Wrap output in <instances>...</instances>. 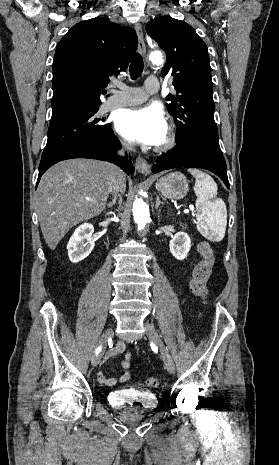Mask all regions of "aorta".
Returning a JSON list of instances; mask_svg holds the SVG:
<instances>
[{"label":"aorta","instance_id":"762f6f07","mask_svg":"<svg viewBox=\"0 0 279 465\" xmlns=\"http://www.w3.org/2000/svg\"><path fill=\"white\" fill-rule=\"evenodd\" d=\"M150 58L154 63H161L163 61L162 55L159 52L152 53ZM133 217L139 230L144 229L150 219L149 206L140 198L135 199L133 203Z\"/></svg>","mask_w":279,"mask_h":465}]
</instances>
